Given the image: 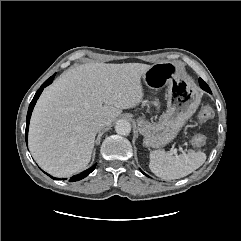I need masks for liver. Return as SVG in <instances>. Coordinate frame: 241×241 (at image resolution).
Returning a JSON list of instances; mask_svg holds the SVG:
<instances>
[{
	"label": "liver",
	"instance_id": "1",
	"mask_svg": "<svg viewBox=\"0 0 241 241\" xmlns=\"http://www.w3.org/2000/svg\"><path fill=\"white\" fill-rule=\"evenodd\" d=\"M141 63H87L64 72L41 94L32 113L29 149L37 164L55 177L84 170L91 160L97 131L123 109L142 101L141 77L150 68Z\"/></svg>",
	"mask_w": 241,
	"mask_h": 241
}]
</instances>
